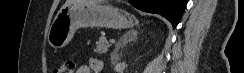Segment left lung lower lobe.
<instances>
[{"label": "left lung lower lobe", "instance_id": "left-lung-lower-lobe-1", "mask_svg": "<svg viewBox=\"0 0 244 73\" xmlns=\"http://www.w3.org/2000/svg\"><path fill=\"white\" fill-rule=\"evenodd\" d=\"M135 8L156 13L168 19L176 27L183 14L187 0H129Z\"/></svg>", "mask_w": 244, "mask_h": 73}]
</instances>
